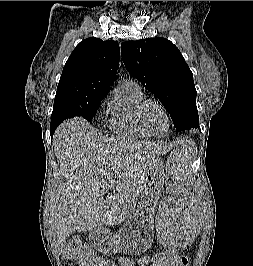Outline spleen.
<instances>
[{
    "instance_id": "3e777b00",
    "label": "spleen",
    "mask_w": 253,
    "mask_h": 266,
    "mask_svg": "<svg viewBox=\"0 0 253 266\" xmlns=\"http://www.w3.org/2000/svg\"><path fill=\"white\" fill-rule=\"evenodd\" d=\"M194 147H181L180 153H172L168 168L174 174V190H168V199H175L172 207H158L155 215L156 246L163 248H190L198 241L194 229H200L202 207H192L190 199H201V190H187L188 178L194 159Z\"/></svg>"
}]
</instances>
